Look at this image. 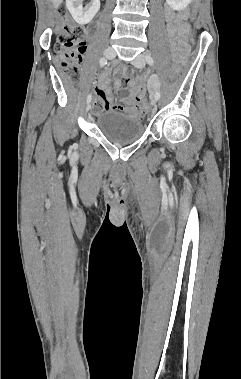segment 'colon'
I'll list each match as a JSON object with an SVG mask.
<instances>
[{
	"label": "colon",
	"mask_w": 241,
	"mask_h": 379,
	"mask_svg": "<svg viewBox=\"0 0 241 379\" xmlns=\"http://www.w3.org/2000/svg\"><path fill=\"white\" fill-rule=\"evenodd\" d=\"M188 12L187 20L195 21L196 15H198L199 12L198 8H189ZM60 14L64 19V27L57 40L55 59L58 66L64 70L66 75L74 80L79 75L81 56L86 48L85 30L82 26L71 22L65 10L60 9ZM180 69L181 66L179 64H171L169 66L167 73L170 83L176 82V78L179 76L177 71ZM120 95H125V92L121 91ZM141 97L144 103L149 101L146 92H143ZM107 108V103L98 97L95 101V110L102 111Z\"/></svg>",
	"instance_id": "colon-1"
}]
</instances>
